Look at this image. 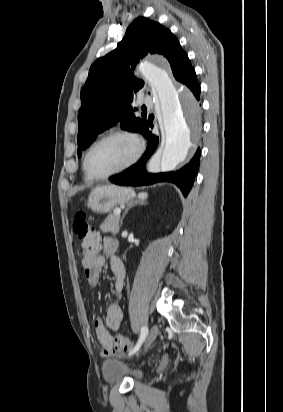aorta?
Instances as JSON below:
<instances>
[{"mask_svg": "<svg viewBox=\"0 0 283 412\" xmlns=\"http://www.w3.org/2000/svg\"><path fill=\"white\" fill-rule=\"evenodd\" d=\"M137 73L144 77L157 94L165 139L160 170L172 171L187 157L195 141L198 127L197 104L186 87L180 90L174 85L166 69L145 61L139 64Z\"/></svg>", "mask_w": 283, "mask_h": 412, "instance_id": "1", "label": "aorta"}]
</instances>
